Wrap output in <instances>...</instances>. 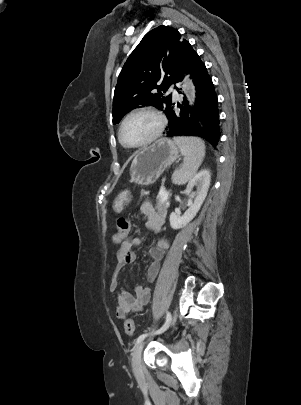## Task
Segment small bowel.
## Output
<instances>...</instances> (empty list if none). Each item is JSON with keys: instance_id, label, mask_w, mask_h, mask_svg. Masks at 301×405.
I'll use <instances>...</instances> for the list:
<instances>
[{"instance_id": "obj_1", "label": "small bowel", "mask_w": 301, "mask_h": 405, "mask_svg": "<svg viewBox=\"0 0 301 405\" xmlns=\"http://www.w3.org/2000/svg\"><path fill=\"white\" fill-rule=\"evenodd\" d=\"M140 213L146 218V227L153 232H160L164 225V216L161 212L157 211L154 206L145 201L141 204ZM142 245V239L135 237L132 239L124 238V242L119 247L116 254V263L111 275L109 285L110 292L117 302L116 315L118 318H124L126 315L138 312L148 304L150 300V289L147 286L138 285L134 289V294L129 293L123 288L118 286V274L123 266L131 264L136 261L137 254L135 248ZM169 244L166 239L159 238L155 246L150 248L149 255L151 263L147 269V280L154 281L161 266V260L164 252L168 249Z\"/></svg>"}]
</instances>
